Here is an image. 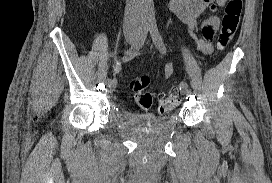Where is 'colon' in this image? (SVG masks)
<instances>
[{
    "instance_id": "obj_1",
    "label": "colon",
    "mask_w": 272,
    "mask_h": 183,
    "mask_svg": "<svg viewBox=\"0 0 272 183\" xmlns=\"http://www.w3.org/2000/svg\"><path fill=\"white\" fill-rule=\"evenodd\" d=\"M242 8V0H228L218 38L219 49H225L234 37L239 25ZM149 84L150 76L148 74L140 75L130 83V88L134 93L139 107L148 110L156 104L159 113L163 114L169 112L178 104L179 97L176 91H172L170 94L160 97L155 102L153 95L146 90Z\"/></svg>"
}]
</instances>
